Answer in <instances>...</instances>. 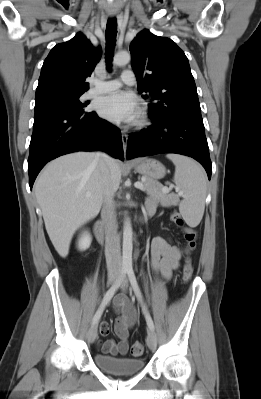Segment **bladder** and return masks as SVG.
Returning a JSON list of instances; mask_svg holds the SVG:
<instances>
[{"instance_id": "1", "label": "bladder", "mask_w": 261, "mask_h": 399, "mask_svg": "<svg viewBox=\"0 0 261 399\" xmlns=\"http://www.w3.org/2000/svg\"><path fill=\"white\" fill-rule=\"evenodd\" d=\"M95 364L105 372L117 375H134L144 367L142 359L128 357H112L102 354L94 355Z\"/></svg>"}]
</instances>
